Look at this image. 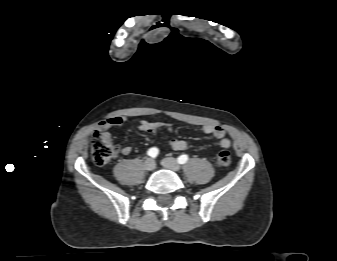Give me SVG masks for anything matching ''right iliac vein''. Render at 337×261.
Returning <instances> with one entry per match:
<instances>
[{"label": "right iliac vein", "mask_w": 337, "mask_h": 261, "mask_svg": "<svg viewBox=\"0 0 337 261\" xmlns=\"http://www.w3.org/2000/svg\"><path fill=\"white\" fill-rule=\"evenodd\" d=\"M144 167L147 171H152L155 169L156 164L155 161L151 158H148L145 162H144Z\"/></svg>", "instance_id": "1"}]
</instances>
